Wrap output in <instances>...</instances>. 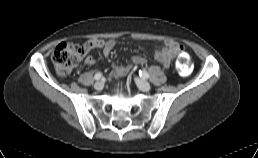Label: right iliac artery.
<instances>
[{
    "label": "right iliac artery",
    "mask_w": 258,
    "mask_h": 158,
    "mask_svg": "<svg viewBox=\"0 0 258 158\" xmlns=\"http://www.w3.org/2000/svg\"><path fill=\"white\" fill-rule=\"evenodd\" d=\"M102 78V74L100 72L96 73L94 76L95 80H100Z\"/></svg>",
    "instance_id": "1"
}]
</instances>
